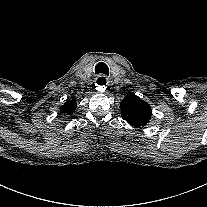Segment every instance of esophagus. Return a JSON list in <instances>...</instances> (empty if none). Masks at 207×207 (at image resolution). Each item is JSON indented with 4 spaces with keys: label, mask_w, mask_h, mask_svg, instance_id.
Masks as SVG:
<instances>
[{
    "label": "esophagus",
    "mask_w": 207,
    "mask_h": 207,
    "mask_svg": "<svg viewBox=\"0 0 207 207\" xmlns=\"http://www.w3.org/2000/svg\"><path fill=\"white\" fill-rule=\"evenodd\" d=\"M95 85L98 89L103 90L109 85V82L107 78L100 77L96 80Z\"/></svg>",
    "instance_id": "obj_1"
}]
</instances>
